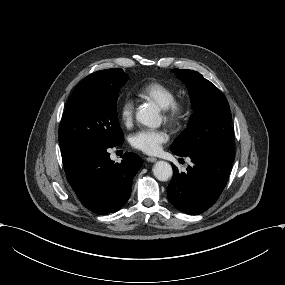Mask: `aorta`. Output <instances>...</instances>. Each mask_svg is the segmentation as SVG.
I'll return each instance as SVG.
<instances>
[{
  "instance_id": "aorta-1",
  "label": "aorta",
  "mask_w": 285,
  "mask_h": 285,
  "mask_svg": "<svg viewBox=\"0 0 285 285\" xmlns=\"http://www.w3.org/2000/svg\"><path fill=\"white\" fill-rule=\"evenodd\" d=\"M136 119L142 125L150 128H156L161 124L159 111L152 105L139 108L136 113ZM153 173L159 181H168L172 177L173 170L168 162L158 161L154 165Z\"/></svg>"
}]
</instances>
